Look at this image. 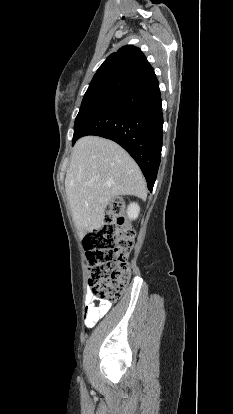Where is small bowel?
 <instances>
[{
	"label": "small bowel",
	"instance_id": "c3829d8e",
	"mask_svg": "<svg viewBox=\"0 0 233 414\" xmlns=\"http://www.w3.org/2000/svg\"><path fill=\"white\" fill-rule=\"evenodd\" d=\"M92 292L91 288L87 289ZM112 303L107 299H96L93 294H87L85 302L84 323L86 327H93L111 308Z\"/></svg>",
	"mask_w": 233,
	"mask_h": 414
}]
</instances>
